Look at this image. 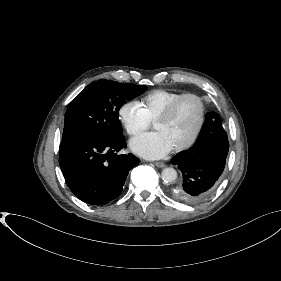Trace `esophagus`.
<instances>
[{"label": "esophagus", "instance_id": "obj_1", "mask_svg": "<svg viewBox=\"0 0 281 281\" xmlns=\"http://www.w3.org/2000/svg\"><path fill=\"white\" fill-rule=\"evenodd\" d=\"M154 165L159 168L165 167V164L163 162H154Z\"/></svg>", "mask_w": 281, "mask_h": 281}]
</instances>
